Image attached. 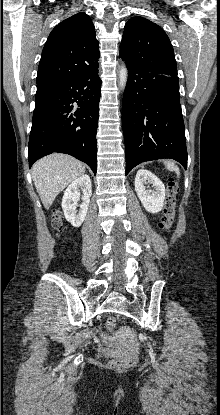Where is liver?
<instances>
[{
  "label": "liver",
  "mask_w": 220,
  "mask_h": 415,
  "mask_svg": "<svg viewBox=\"0 0 220 415\" xmlns=\"http://www.w3.org/2000/svg\"><path fill=\"white\" fill-rule=\"evenodd\" d=\"M84 173L85 165L69 155L52 154L38 160L32 179L43 206L49 209L56 196Z\"/></svg>",
  "instance_id": "6515ba94"
}]
</instances>
